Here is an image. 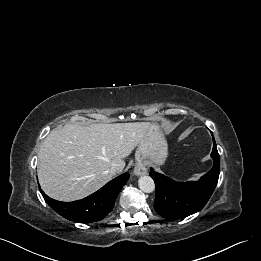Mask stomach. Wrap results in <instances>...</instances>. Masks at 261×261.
Returning a JSON list of instances; mask_svg holds the SVG:
<instances>
[{"mask_svg":"<svg viewBox=\"0 0 261 261\" xmlns=\"http://www.w3.org/2000/svg\"><path fill=\"white\" fill-rule=\"evenodd\" d=\"M168 156V145L159 126L153 125L152 129L142 137L136 151V161L150 162L162 165Z\"/></svg>","mask_w":261,"mask_h":261,"instance_id":"stomach-1","label":"stomach"}]
</instances>
